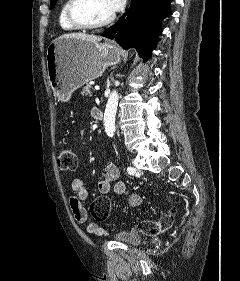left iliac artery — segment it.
<instances>
[{
  "instance_id": "44dca946",
  "label": "left iliac artery",
  "mask_w": 240,
  "mask_h": 281,
  "mask_svg": "<svg viewBox=\"0 0 240 281\" xmlns=\"http://www.w3.org/2000/svg\"><path fill=\"white\" fill-rule=\"evenodd\" d=\"M127 172L130 174V175H134L136 173V169L133 168V167H127Z\"/></svg>"
}]
</instances>
